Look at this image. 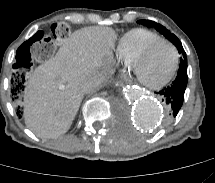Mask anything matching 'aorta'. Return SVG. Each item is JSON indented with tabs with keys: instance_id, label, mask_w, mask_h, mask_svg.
I'll use <instances>...</instances> for the list:
<instances>
[{
	"instance_id": "aorta-1",
	"label": "aorta",
	"mask_w": 215,
	"mask_h": 183,
	"mask_svg": "<svg viewBox=\"0 0 215 183\" xmlns=\"http://www.w3.org/2000/svg\"><path fill=\"white\" fill-rule=\"evenodd\" d=\"M115 95L124 107L129 108V112L138 126L150 129L161 123L162 106L149 96L143 95L139 89L117 86L115 87Z\"/></svg>"
}]
</instances>
